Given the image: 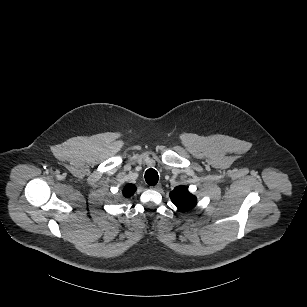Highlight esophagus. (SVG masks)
<instances>
[{"mask_svg": "<svg viewBox=\"0 0 307 307\" xmlns=\"http://www.w3.org/2000/svg\"><path fill=\"white\" fill-rule=\"evenodd\" d=\"M161 187H162L161 183H158V184L154 185V186L152 187V189H154V190H160Z\"/></svg>", "mask_w": 307, "mask_h": 307, "instance_id": "esophagus-1", "label": "esophagus"}]
</instances>
